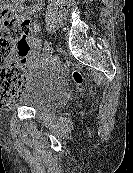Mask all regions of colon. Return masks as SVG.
<instances>
[{"label": "colon", "instance_id": "obj_1", "mask_svg": "<svg viewBox=\"0 0 133 173\" xmlns=\"http://www.w3.org/2000/svg\"><path fill=\"white\" fill-rule=\"evenodd\" d=\"M31 22L17 19L8 8L0 12V106L12 105L21 93L27 75L24 62L30 51ZM15 52V54H14ZM80 83L81 75L75 72Z\"/></svg>", "mask_w": 133, "mask_h": 173}]
</instances>
